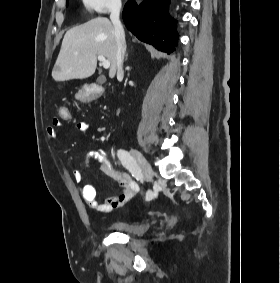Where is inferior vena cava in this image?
I'll return each mask as SVG.
<instances>
[{"instance_id": "1", "label": "inferior vena cava", "mask_w": 280, "mask_h": 283, "mask_svg": "<svg viewBox=\"0 0 280 283\" xmlns=\"http://www.w3.org/2000/svg\"><path fill=\"white\" fill-rule=\"evenodd\" d=\"M120 9L121 5H116L112 8L110 19L114 26L116 42H117V53H116V63H117V75H123V60L126 51V41L125 34L122 24L120 22Z\"/></svg>"}]
</instances>
